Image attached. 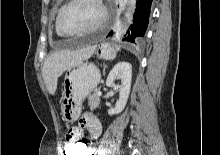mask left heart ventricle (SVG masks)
I'll return each mask as SVG.
<instances>
[{
	"instance_id": "1",
	"label": "left heart ventricle",
	"mask_w": 220,
	"mask_h": 155,
	"mask_svg": "<svg viewBox=\"0 0 220 155\" xmlns=\"http://www.w3.org/2000/svg\"><path fill=\"white\" fill-rule=\"evenodd\" d=\"M102 18V9L96 0H77L61 16V27L68 32L96 25Z\"/></svg>"
}]
</instances>
